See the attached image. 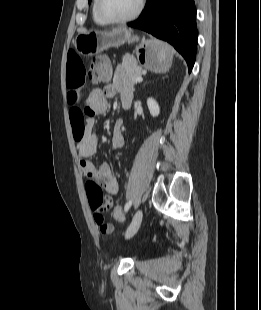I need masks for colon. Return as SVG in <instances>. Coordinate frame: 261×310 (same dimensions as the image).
<instances>
[{"instance_id": "obj_1", "label": "colon", "mask_w": 261, "mask_h": 310, "mask_svg": "<svg viewBox=\"0 0 261 310\" xmlns=\"http://www.w3.org/2000/svg\"><path fill=\"white\" fill-rule=\"evenodd\" d=\"M112 76V69L109 60L105 56H97L92 61V68L89 73L90 80L93 83H103L108 81ZM87 194L90 206L93 210L107 205L102 190L95 181H88ZM113 216L116 220H123V212L121 206L117 205L113 208ZM94 220L103 234H110L113 230L111 224L104 220L100 213L94 214Z\"/></svg>"}]
</instances>
